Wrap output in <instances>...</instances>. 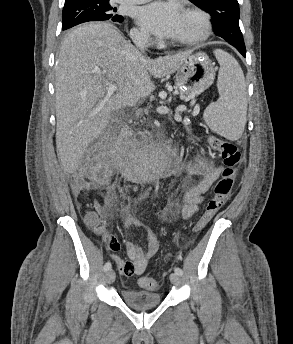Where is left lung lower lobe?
Returning <instances> with one entry per match:
<instances>
[{
	"instance_id": "1",
	"label": "left lung lower lobe",
	"mask_w": 293,
	"mask_h": 344,
	"mask_svg": "<svg viewBox=\"0 0 293 344\" xmlns=\"http://www.w3.org/2000/svg\"><path fill=\"white\" fill-rule=\"evenodd\" d=\"M243 56H246L245 45H233Z\"/></svg>"
}]
</instances>
